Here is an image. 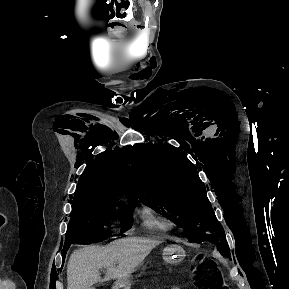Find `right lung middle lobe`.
Here are the masks:
<instances>
[{"label":"right lung middle lobe","mask_w":289,"mask_h":289,"mask_svg":"<svg viewBox=\"0 0 289 289\" xmlns=\"http://www.w3.org/2000/svg\"><path fill=\"white\" fill-rule=\"evenodd\" d=\"M137 202L118 198L74 200L63 250L72 242L90 243L113 236L108 232L110 220H119L121 232H125L132 226V211Z\"/></svg>","instance_id":"obj_1"}]
</instances>
